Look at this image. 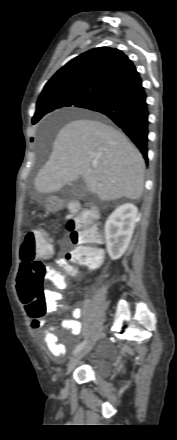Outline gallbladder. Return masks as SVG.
<instances>
[{
	"label": "gallbladder",
	"instance_id": "gallbladder-1",
	"mask_svg": "<svg viewBox=\"0 0 177 440\" xmlns=\"http://www.w3.org/2000/svg\"><path fill=\"white\" fill-rule=\"evenodd\" d=\"M72 186H73L72 193L76 196H79L86 191V187L82 183L77 184V185H72Z\"/></svg>",
	"mask_w": 177,
	"mask_h": 440
}]
</instances>
